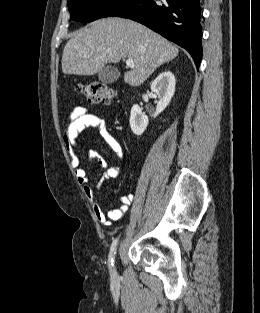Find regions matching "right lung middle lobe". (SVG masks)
Masks as SVG:
<instances>
[{"label":"right lung middle lobe","instance_id":"obj_1","mask_svg":"<svg viewBox=\"0 0 260 313\" xmlns=\"http://www.w3.org/2000/svg\"><path fill=\"white\" fill-rule=\"evenodd\" d=\"M122 0H68L71 19L91 22L102 18L110 9Z\"/></svg>","mask_w":260,"mask_h":313}]
</instances>
